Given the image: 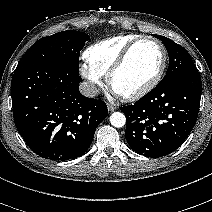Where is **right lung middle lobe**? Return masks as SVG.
<instances>
[{
	"instance_id": "right-lung-middle-lobe-1",
	"label": "right lung middle lobe",
	"mask_w": 212,
	"mask_h": 212,
	"mask_svg": "<svg viewBox=\"0 0 212 212\" xmlns=\"http://www.w3.org/2000/svg\"><path fill=\"white\" fill-rule=\"evenodd\" d=\"M89 39L85 33L66 30L43 37L23 55L14 72L41 64L60 65L79 73V54Z\"/></svg>"
}]
</instances>
